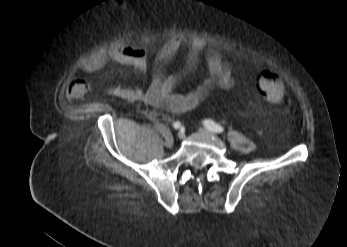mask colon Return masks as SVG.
I'll list each match as a JSON object with an SVG mask.
<instances>
[{
    "label": "colon",
    "instance_id": "1",
    "mask_svg": "<svg viewBox=\"0 0 347 247\" xmlns=\"http://www.w3.org/2000/svg\"><path fill=\"white\" fill-rule=\"evenodd\" d=\"M257 86L260 93L270 104L278 105L286 99V86L273 70H262L257 75Z\"/></svg>",
    "mask_w": 347,
    "mask_h": 247
}]
</instances>
